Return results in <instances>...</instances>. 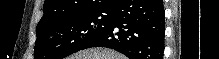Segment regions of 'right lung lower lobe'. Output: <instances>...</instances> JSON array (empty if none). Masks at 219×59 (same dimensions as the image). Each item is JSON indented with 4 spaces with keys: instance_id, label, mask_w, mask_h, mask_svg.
<instances>
[{
    "instance_id": "98d812e1",
    "label": "right lung lower lobe",
    "mask_w": 219,
    "mask_h": 59,
    "mask_svg": "<svg viewBox=\"0 0 219 59\" xmlns=\"http://www.w3.org/2000/svg\"><path fill=\"white\" fill-rule=\"evenodd\" d=\"M164 19L162 0H117L108 28L83 49L107 47L130 59H162Z\"/></svg>"
}]
</instances>
